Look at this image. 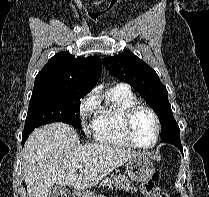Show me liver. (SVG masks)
I'll return each mask as SVG.
<instances>
[{
	"mask_svg": "<svg viewBox=\"0 0 209 197\" xmlns=\"http://www.w3.org/2000/svg\"><path fill=\"white\" fill-rule=\"evenodd\" d=\"M139 154L106 143L81 145L70 125L60 122L44 125L32 132L24 146L27 197H47L55 183L86 190ZM79 164L83 168L76 174Z\"/></svg>",
	"mask_w": 209,
	"mask_h": 197,
	"instance_id": "1",
	"label": "liver"
}]
</instances>
